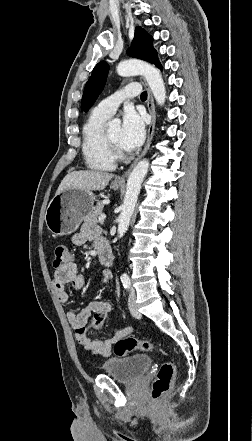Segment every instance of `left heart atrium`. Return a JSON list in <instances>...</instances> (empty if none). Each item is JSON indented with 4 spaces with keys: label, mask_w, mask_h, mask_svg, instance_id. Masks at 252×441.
<instances>
[{
    "label": "left heart atrium",
    "mask_w": 252,
    "mask_h": 441,
    "mask_svg": "<svg viewBox=\"0 0 252 441\" xmlns=\"http://www.w3.org/2000/svg\"><path fill=\"white\" fill-rule=\"evenodd\" d=\"M145 138V117L134 108L124 111L119 146L127 152L136 150Z\"/></svg>",
    "instance_id": "obj_1"
}]
</instances>
